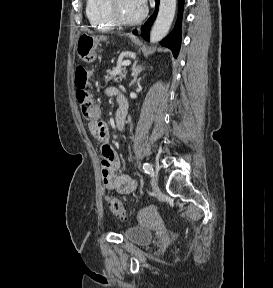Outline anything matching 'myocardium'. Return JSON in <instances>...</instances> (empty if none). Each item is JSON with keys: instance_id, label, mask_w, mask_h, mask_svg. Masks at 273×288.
<instances>
[{"instance_id": "1", "label": "myocardium", "mask_w": 273, "mask_h": 288, "mask_svg": "<svg viewBox=\"0 0 273 288\" xmlns=\"http://www.w3.org/2000/svg\"><path fill=\"white\" fill-rule=\"evenodd\" d=\"M117 3L118 0H105L106 15L116 25H122V26L136 25L142 22L147 15V9L144 8L142 13L136 18L133 19L122 18L118 13Z\"/></svg>"}]
</instances>
